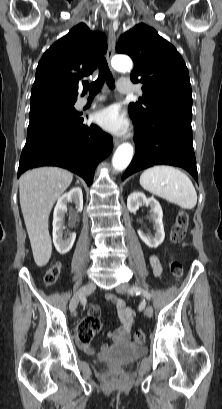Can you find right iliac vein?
<instances>
[{"mask_svg": "<svg viewBox=\"0 0 222 409\" xmlns=\"http://www.w3.org/2000/svg\"><path fill=\"white\" fill-rule=\"evenodd\" d=\"M95 288H96L95 283L90 282L83 286L79 291H77L70 301L69 304L70 311L74 313L77 309L79 301L86 295L92 293L95 290Z\"/></svg>", "mask_w": 222, "mask_h": 409, "instance_id": "right-iliac-vein-1", "label": "right iliac vein"}]
</instances>
